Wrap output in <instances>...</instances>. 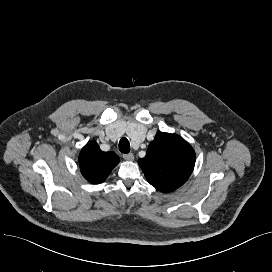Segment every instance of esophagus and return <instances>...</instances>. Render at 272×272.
<instances>
[{"mask_svg": "<svg viewBox=\"0 0 272 272\" xmlns=\"http://www.w3.org/2000/svg\"><path fill=\"white\" fill-rule=\"evenodd\" d=\"M123 158H124L126 161H132V160H134V155H133L132 153L124 154V155H123Z\"/></svg>", "mask_w": 272, "mask_h": 272, "instance_id": "1", "label": "esophagus"}]
</instances>
